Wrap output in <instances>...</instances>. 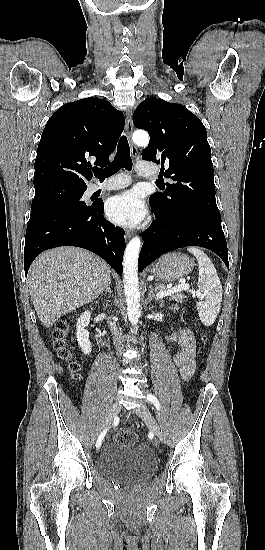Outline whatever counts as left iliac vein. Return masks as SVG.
Masks as SVG:
<instances>
[{
	"instance_id": "obj_1",
	"label": "left iliac vein",
	"mask_w": 265,
	"mask_h": 550,
	"mask_svg": "<svg viewBox=\"0 0 265 550\" xmlns=\"http://www.w3.org/2000/svg\"><path fill=\"white\" fill-rule=\"evenodd\" d=\"M135 412L149 426L156 438L163 442L165 440L164 435L149 409L146 406L142 405L141 407L137 408Z\"/></svg>"
}]
</instances>
